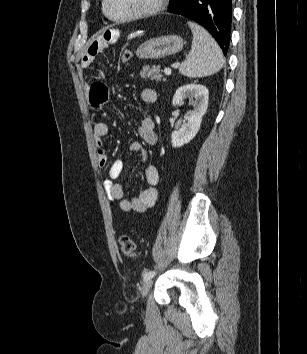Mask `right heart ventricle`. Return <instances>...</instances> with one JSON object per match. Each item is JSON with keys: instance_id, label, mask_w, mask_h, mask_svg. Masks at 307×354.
Instances as JSON below:
<instances>
[{"instance_id": "e07e8e85", "label": "right heart ventricle", "mask_w": 307, "mask_h": 354, "mask_svg": "<svg viewBox=\"0 0 307 354\" xmlns=\"http://www.w3.org/2000/svg\"><path fill=\"white\" fill-rule=\"evenodd\" d=\"M102 12L104 13V10H103V4H102ZM105 14V13H104Z\"/></svg>"}]
</instances>
